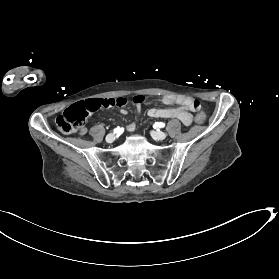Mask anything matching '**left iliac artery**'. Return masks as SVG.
<instances>
[{"label": "left iliac artery", "instance_id": "1", "mask_svg": "<svg viewBox=\"0 0 279 279\" xmlns=\"http://www.w3.org/2000/svg\"><path fill=\"white\" fill-rule=\"evenodd\" d=\"M154 128H164L165 127V123L163 122H156L154 125H153Z\"/></svg>", "mask_w": 279, "mask_h": 279}]
</instances>
